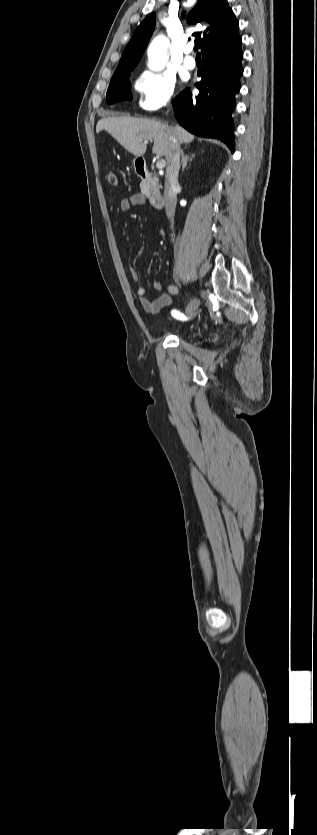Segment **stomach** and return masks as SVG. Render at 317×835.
<instances>
[{
    "label": "stomach",
    "instance_id": "1",
    "mask_svg": "<svg viewBox=\"0 0 317 835\" xmlns=\"http://www.w3.org/2000/svg\"><path fill=\"white\" fill-rule=\"evenodd\" d=\"M136 159H137V158H135V159H134V163L136 162Z\"/></svg>",
    "mask_w": 317,
    "mask_h": 835
}]
</instances>
